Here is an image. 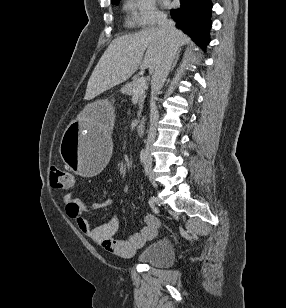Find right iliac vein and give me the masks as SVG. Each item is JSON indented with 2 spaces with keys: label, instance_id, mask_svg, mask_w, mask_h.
<instances>
[{
  "label": "right iliac vein",
  "instance_id": "obj_1",
  "mask_svg": "<svg viewBox=\"0 0 286 308\" xmlns=\"http://www.w3.org/2000/svg\"><path fill=\"white\" fill-rule=\"evenodd\" d=\"M151 167H152V164L150 163V164H149L150 180H151V183H152L153 187L156 188L157 185H156V183H155V181H154V179H153Z\"/></svg>",
  "mask_w": 286,
  "mask_h": 308
}]
</instances>
